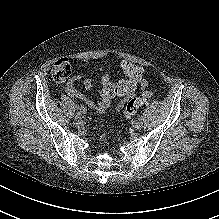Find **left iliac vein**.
<instances>
[{"mask_svg": "<svg viewBox=\"0 0 219 219\" xmlns=\"http://www.w3.org/2000/svg\"><path fill=\"white\" fill-rule=\"evenodd\" d=\"M143 119H137L134 121L133 125L136 129H141L143 127Z\"/></svg>", "mask_w": 219, "mask_h": 219, "instance_id": "1", "label": "left iliac vein"}]
</instances>
